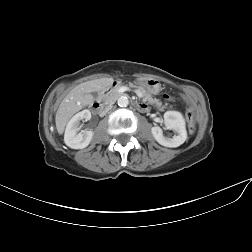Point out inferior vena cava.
Listing matches in <instances>:
<instances>
[{"label":"inferior vena cava","mask_w":252,"mask_h":252,"mask_svg":"<svg viewBox=\"0 0 252 252\" xmlns=\"http://www.w3.org/2000/svg\"><path fill=\"white\" fill-rule=\"evenodd\" d=\"M111 108V105L106 106L104 109L101 110L100 115L104 116Z\"/></svg>","instance_id":"inferior-vena-cava-1"}]
</instances>
